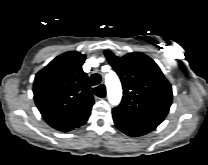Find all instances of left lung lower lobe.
<instances>
[{
  "label": "left lung lower lobe",
  "instance_id": "0a47b994",
  "mask_svg": "<svg viewBox=\"0 0 208 165\" xmlns=\"http://www.w3.org/2000/svg\"><path fill=\"white\" fill-rule=\"evenodd\" d=\"M113 120L116 127L128 136L138 137L145 135L156 129L158 125L140 122L126 118L116 112H113Z\"/></svg>",
  "mask_w": 208,
  "mask_h": 165
}]
</instances>
